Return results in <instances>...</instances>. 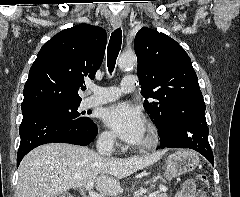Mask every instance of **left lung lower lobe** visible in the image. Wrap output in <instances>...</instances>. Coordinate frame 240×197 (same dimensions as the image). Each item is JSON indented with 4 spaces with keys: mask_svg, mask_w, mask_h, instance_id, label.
Returning a JSON list of instances; mask_svg holds the SVG:
<instances>
[{
    "mask_svg": "<svg viewBox=\"0 0 240 197\" xmlns=\"http://www.w3.org/2000/svg\"><path fill=\"white\" fill-rule=\"evenodd\" d=\"M159 129L160 148H189L201 153L214 165L208 142L209 129L202 98L191 97L180 113L165 112L153 120Z\"/></svg>",
    "mask_w": 240,
    "mask_h": 197,
    "instance_id": "1",
    "label": "left lung lower lobe"
}]
</instances>
